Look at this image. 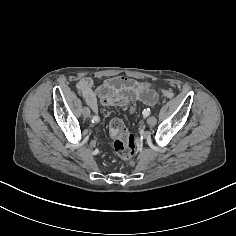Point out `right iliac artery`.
<instances>
[{
	"label": "right iliac artery",
	"instance_id": "82829eb1",
	"mask_svg": "<svg viewBox=\"0 0 236 236\" xmlns=\"http://www.w3.org/2000/svg\"><path fill=\"white\" fill-rule=\"evenodd\" d=\"M98 121H99V117L98 116H93L92 122L97 123Z\"/></svg>",
	"mask_w": 236,
	"mask_h": 236
}]
</instances>
